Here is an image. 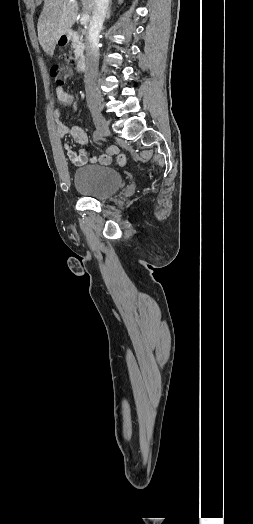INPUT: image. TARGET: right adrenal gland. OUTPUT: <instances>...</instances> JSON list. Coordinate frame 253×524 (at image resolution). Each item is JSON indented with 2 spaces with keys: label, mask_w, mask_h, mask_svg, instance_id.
<instances>
[{
  "label": "right adrenal gland",
  "mask_w": 253,
  "mask_h": 524,
  "mask_svg": "<svg viewBox=\"0 0 253 524\" xmlns=\"http://www.w3.org/2000/svg\"><path fill=\"white\" fill-rule=\"evenodd\" d=\"M111 5H112V0H110L109 7L107 10V15H106L107 20L110 18V15H111Z\"/></svg>",
  "instance_id": "right-adrenal-gland-1"
}]
</instances>
